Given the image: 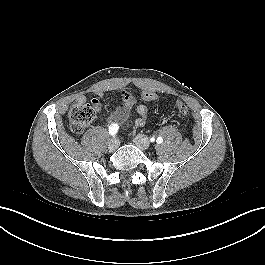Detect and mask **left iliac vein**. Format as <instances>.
Segmentation results:
<instances>
[{
	"label": "left iliac vein",
	"mask_w": 265,
	"mask_h": 265,
	"mask_svg": "<svg viewBox=\"0 0 265 265\" xmlns=\"http://www.w3.org/2000/svg\"><path fill=\"white\" fill-rule=\"evenodd\" d=\"M133 142L135 143V145H137L142 150H148L150 147L149 139L145 135H142V134L137 135L133 139Z\"/></svg>",
	"instance_id": "left-iliac-vein-1"
}]
</instances>
